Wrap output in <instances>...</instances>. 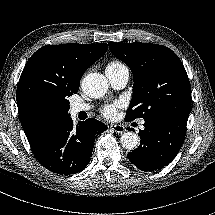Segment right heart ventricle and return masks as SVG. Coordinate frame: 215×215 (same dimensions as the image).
Listing matches in <instances>:
<instances>
[{
    "mask_svg": "<svg viewBox=\"0 0 215 215\" xmlns=\"http://www.w3.org/2000/svg\"><path fill=\"white\" fill-rule=\"evenodd\" d=\"M127 67L120 61L117 60H113L111 62L108 63L107 67H106V71L110 72V73H115L118 72L122 69H126Z\"/></svg>",
    "mask_w": 215,
    "mask_h": 215,
    "instance_id": "1",
    "label": "right heart ventricle"
}]
</instances>
